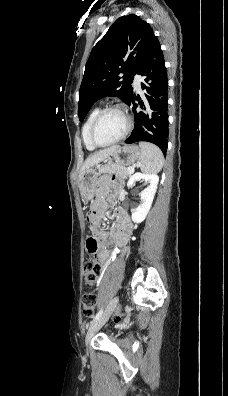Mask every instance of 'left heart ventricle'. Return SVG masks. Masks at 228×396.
Returning <instances> with one entry per match:
<instances>
[{"mask_svg": "<svg viewBox=\"0 0 228 396\" xmlns=\"http://www.w3.org/2000/svg\"><path fill=\"white\" fill-rule=\"evenodd\" d=\"M126 122L118 111H110L102 116L95 130V138L100 143H108L118 138L124 131Z\"/></svg>", "mask_w": 228, "mask_h": 396, "instance_id": "obj_1", "label": "left heart ventricle"}]
</instances>
